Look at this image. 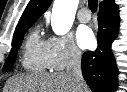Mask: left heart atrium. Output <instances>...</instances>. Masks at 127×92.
<instances>
[{
    "instance_id": "1",
    "label": "left heart atrium",
    "mask_w": 127,
    "mask_h": 92,
    "mask_svg": "<svg viewBox=\"0 0 127 92\" xmlns=\"http://www.w3.org/2000/svg\"><path fill=\"white\" fill-rule=\"evenodd\" d=\"M76 38L79 46L83 49H89L95 44L94 34L87 26L79 27Z\"/></svg>"
}]
</instances>
